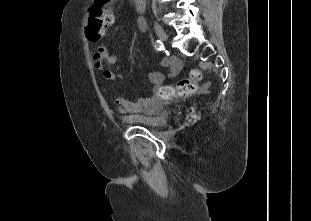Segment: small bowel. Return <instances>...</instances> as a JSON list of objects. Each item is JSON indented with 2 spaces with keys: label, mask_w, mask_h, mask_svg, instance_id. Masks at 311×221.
<instances>
[{
  "label": "small bowel",
  "mask_w": 311,
  "mask_h": 221,
  "mask_svg": "<svg viewBox=\"0 0 311 221\" xmlns=\"http://www.w3.org/2000/svg\"><path fill=\"white\" fill-rule=\"evenodd\" d=\"M139 29L143 31L145 29V25L142 23V26H139ZM117 62V56L111 54L106 46H99L96 49L94 56L95 67L99 70H102L103 78L108 81L114 88L116 110L121 114L144 112L151 98L140 97L135 100L127 99L115 89L117 81L123 77L124 73L110 69H104L105 64L115 65ZM149 81L155 89L159 88L164 81V75L161 72H154L150 75Z\"/></svg>",
  "instance_id": "1"
}]
</instances>
